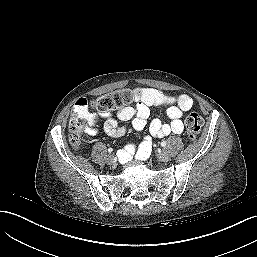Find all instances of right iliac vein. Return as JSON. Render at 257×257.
I'll use <instances>...</instances> for the list:
<instances>
[{"instance_id": "obj_1", "label": "right iliac vein", "mask_w": 257, "mask_h": 257, "mask_svg": "<svg viewBox=\"0 0 257 257\" xmlns=\"http://www.w3.org/2000/svg\"><path fill=\"white\" fill-rule=\"evenodd\" d=\"M106 161H107V163H109V164H113V163L116 162V158H115V156H113V155H108L107 158H106Z\"/></svg>"}]
</instances>
